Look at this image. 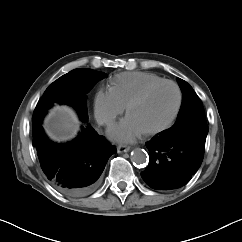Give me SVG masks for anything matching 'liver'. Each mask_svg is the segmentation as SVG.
<instances>
[{"label":"liver","instance_id":"liver-1","mask_svg":"<svg viewBox=\"0 0 242 242\" xmlns=\"http://www.w3.org/2000/svg\"><path fill=\"white\" fill-rule=\"evenodd\" d=\"M45 129L52 138L67 140L77 134L79 121L71 108L57 106L46 118Z\"/></svg>","mask_w":242,"mask_h":242}]
</instances>
